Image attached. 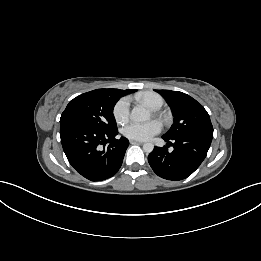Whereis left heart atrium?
<instances>
[{
  "instance_id": "obj_1",
  "label": "left heart atrium",
  "mask_w": 261,
  "mask_h": 261,
  "mask_svg": "<svg viewBox=\"0 0 261 261\" xmlns=\"http://www.w3.org/2000/svg\"><path fill=\"white\" fill-rule=\"evenodd\" d=\"M161 129L162 124L157 120L145 123L131 122L123 128L122 133L129 139L144 141L158 134Z\"/></svg>"
}]
</instances>
